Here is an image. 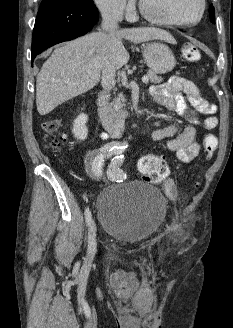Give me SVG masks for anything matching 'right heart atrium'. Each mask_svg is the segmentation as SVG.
<instances>
[{
	"label": "right heart atrium",
	"instance_id": "d8ad5b80",
	"mask_svg": "<svg viewBox=\"0 0 233 328\" xmlns=\"http://www.w3.org/2000/svg\"><path fill=\"white\" fill-rule=\"evenodd\" d=\"M94 3L103 16L112 20L130 16L134 8L132 0H94Z\"/></svg>",
	"mask_w": 233,
	"mask_h": 328
}]
</instances>
